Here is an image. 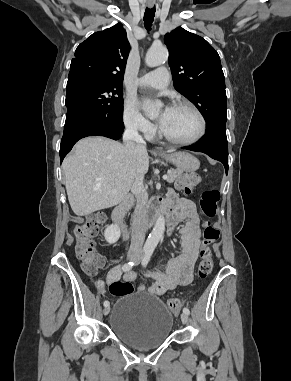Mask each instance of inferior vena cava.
Instances as JSON below:
<instances>
[{
    "label": "inferior vena cava",
    "mask_w": 291,
    "mask_h": 381,
    "mask_svg": "<svg viewBox=\"0 0 291 381\" xmlns=\"http://www.w3.org/2000/svg\"><path fill=\"white\" fill-rule=\"evenodd\" d=\"M125 141H133L140 149L146 148V143L141 135L137 131L135 125H128L125 129L124 136ZM144 176H138L131 188L132 193L135 195L137 203L134 212L133 221L131 224V245L129 248V254L139 255L142 253V247L145 240V215L148 195L143 185Z\"/></svg>",
    "instance_id": "inferior-vena-cava-1"
}]
</instances>
